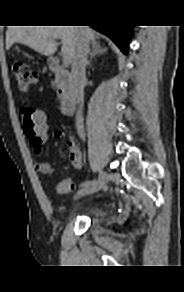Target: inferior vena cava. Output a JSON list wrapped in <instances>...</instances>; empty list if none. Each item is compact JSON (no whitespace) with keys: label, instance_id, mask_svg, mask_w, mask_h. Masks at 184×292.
<instances>
[{"label":"inferior vena cava","instance_id":"inferior-vena-cava-1","mask_svg":"<svg viewBox=\"0 0 184 292\" xmlns=\"http://www.w3.org/2000/svg\"><path fill=\"white\" fill-rule=\"evenodd\" d=\"M78 28L81 31V35L79 38V44L72 60L71 91L72 97L79 104V108L76 114V128L79 136L84 139L85 134L83 126L82 104L84 100V87L86 83V66L88 63L87 55L89 53V45L84 34L83 27L79 26Z\"/></svg>","mask_w":184,"mask_h":292}]
</instances>
